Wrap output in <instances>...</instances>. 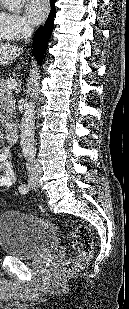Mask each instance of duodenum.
Listing matches in <instances>:
<instances>
[{"label": "duodenum", "mask_w": 129, "mask_h": 309, "mask_svg": "<svg viewBox=\"0 0 129 309\" xmlns=\"http://www.w3.org/2000/svg\"><path fill=\"white\" fill-rule=\"evenodd\" d=\"M18 138V126L16 123L10 122L5 128V139L9 144H13Z\"/></svg>", "instance_id": "410a0bca"}]
</instances>
